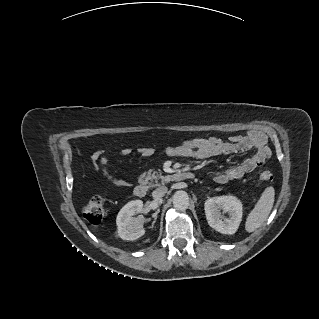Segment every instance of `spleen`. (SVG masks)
<instances>
[{
  "label": "spleen",
  "instance_id": "obj_1",
  "mask_svg": "<svg viewBox=\"0 0 319 319\" xmlns=\"http://www.w3.org/2000/svg\"><path fill=\"white\" fill-rule=\"evenodd\" d=\"M275 190L272 186L267 187L253 210L247 216L245 229L247 232H253L259 228L268 218L274 204Z\"/></svg>",
  "mask_w": 319,
  "mask_h": 319
}]
</instances>
